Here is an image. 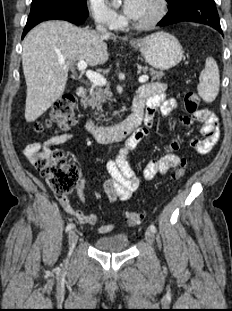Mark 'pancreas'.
<instances>
[{
	"instance_id": "1",
	"label": "pancreas",
	"mask_w": 232,
	"mask_h": 311,
	"mask_svg": "<svg viewBox=\"0 0 232 311\" xmlns=\"http://www.w3.org/2000/svg\"><path fill=\"white\" fill-rule=\"evenodd\" d=\"M141 69H143L144 72L149 71L150 75L152 76L153 81L160 80L164 76L163 72L156 71L155 69L148 68L147 66ZM111 97H112V93L109 88L102 89L101 87L93 85L90 88L89 95L82 100V103L85 107L88 106V107H91L92 109H96L95 115L100 114V117H103L104 114H103L102 105L103 103L110 100ZM100 117L99 118L96 117V120H100Z\"/></svg>"
}]
</instances>
